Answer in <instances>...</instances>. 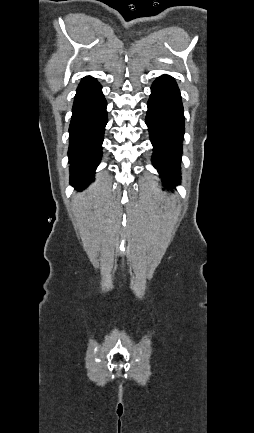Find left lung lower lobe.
I'll return each instance as SVG.
<instances>
[{
  "instance_id": "left-lung-lower-lobe-1",
  "label": "left lung lower lobe",
  "mask_w": 254,
  "mask_h": 433,
  "mask_svg": "<svg viewBox=\"0 0 254 433\" xmlns=\"http://www.w3.org/2000/svg\"><path fill=\"white\" fill-rule=\"evenodd\" d=\"M146 124L153 144L152 162L164 186L180 183L181 142L184 137V112L180 91L168 75L158 77L151 86Z\"/></svg>"
}]
</instances>
